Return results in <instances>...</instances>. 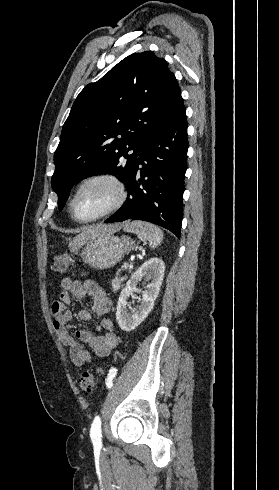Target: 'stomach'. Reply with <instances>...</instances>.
Returning a JSON list of instances; mask_svg holds the SVG:
<instances>
[{"mask_svg": "<svg viewBox=\"0 0 279 490\" xmlns=\"http://www.w3.org/2000/svg\"><path fill=\"white\" fill-rule=\"evenodd\" d=\"M70 252L81 256L85 264H89L95 270H108L123 260L125 254H129L134 248V242L127 236H113L106 234L95 240H88L86 244H76L74 240L69 244Z\"/></svg>", "mask_w": 279, "mask_h": 490, "instance_id": "stomach-1", "label": "stomach"}]
</instances>
